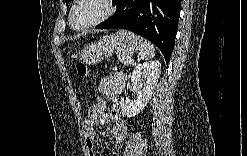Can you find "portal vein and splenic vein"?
Segmentation results:
<instances>
[{
	"instance_id": "portal-vein-and-splenic-vein-1",
	"label": "portal vein and splenic vein",
	"mask_w": 247,
	"mask_h": 156,
	"mask_svg": "<svg viewBox=\"0 0 247 156\" xmlns=\"http://www.w3.org/2000/svg\"><path fill=\"white\" fill-rule=\"evenodd\" d=\"M133 63H134L133 59L129 60V64H133Z\"/></svg>"
}]
</instances>
